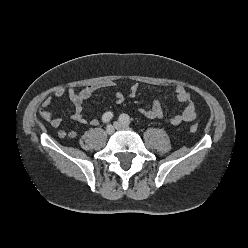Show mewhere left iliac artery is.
Returning a JSON list of instances; mask_svg holds the SVG:
<instances>
[{
	"label": "left iliac artery",
	"mask_w": 248,
	"mask_h": 248,
	"mask_svg": "<svg viewBox=\"0 0 248 248\" xmlns=\"http://www.w3.org/2000/svg\"><path fill=\"white\" fill-rule=\"evenodd\" d=\"M119 121L125 125H129L131 122L130 117L127 114H121L119 116Z\"/></svg>",
	"instance_id": "1"
}]
</instances>
